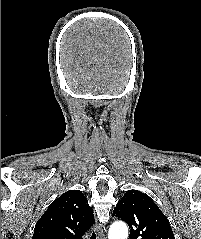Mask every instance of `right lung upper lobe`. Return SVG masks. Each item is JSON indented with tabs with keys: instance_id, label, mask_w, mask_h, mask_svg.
Masks as SVG:
<instances>
[{
	"instance_id": "right-lung-upper-lobe-1",
	"label": "right lung upper lobe",
	"mask_w": 201,
	"mask_h": 239,
	"mask_svg": "<svg viewBox=\"0 0 201 239\" xmlns=\"http://www.w3.org/2000/svg\"><path fill=\"white\" fill-rule=\"evenodd\" d=\"M94 223L93 209L79 190L62 194L35 225L32 239H82Z\"/></svg>"
}]
</instances>
